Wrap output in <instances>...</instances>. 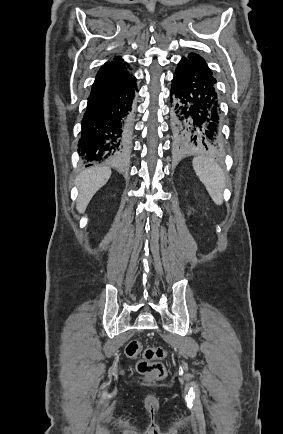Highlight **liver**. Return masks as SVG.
<instances>
[{"label": "liver", "mask_w": 283, "mask_h": 434, "mask_svg": "<svg viewBox=\"0 0 283 434\" xmlns=\"http://www.w3.org/2000/svg\"><path fill=\"white\" fill-rule=\"evenodd\" d=\"M111 173L108 167H94L83 171L76 178L79 187L76 209L79 213L85 211L95 193L109 180Z\"/></svg>", "instance_id": "1"}]
</instances>
